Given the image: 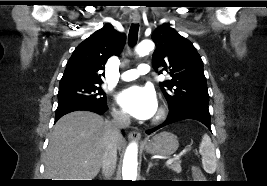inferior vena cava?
<instances>
[{
    "label": "inferior vena cava",
    "instance_id": "inferior-vena-cava-1",
    "mask_svg": "<svg viewBox=\"0 0 267 186\" xmlns=\"http://www.w3.org/2000/svg\"><path fill=\"white\" fill-rule=\"evenodd\" d=\"M112 116V121L108 123V136L102 157V174L106 180H109L116 167L118 140L122 137L121 129L130 125V118L126 113L115 112Z\"/></svg>",
    "mask_w": 267,
    "mask_h": 186
}]
</instances>
